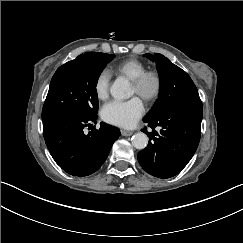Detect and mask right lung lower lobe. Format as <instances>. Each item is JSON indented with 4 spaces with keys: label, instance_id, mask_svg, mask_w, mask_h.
<instances>
[{
    "label": "right lung lower lobe",
    "instance_id": "98d812e1",
    "mask_svg": "<svg viewBox=\"0 0 243 243\" xmlns=\"http://www.w3.org/2000/svg\"><path fill=\"white\" fill-rule=\"evenodd\" d=\"M97 118V115L66 113L43 122L44 139L51 156L70 175L82 177L97 171L120 136L118 128L103 122L99 130L93 128L85 134L84 128L96 123Z\"/></svg>",
    "mask_w": 243,
    "mask_h": 243
}]
</instances>
